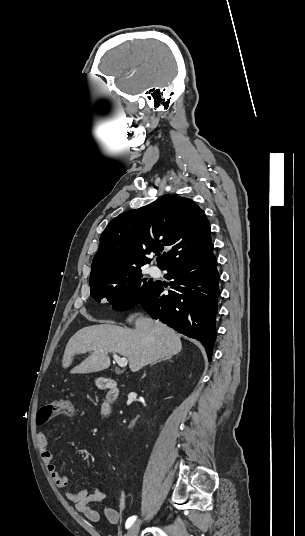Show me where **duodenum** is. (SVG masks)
I'll return each mask as SVG.
<instances>
[{"label":"duodenum","instance_id":"duodenum-1","mask_svg":"<svg viewBox=\"0 0 305 536\" xmlns=\"http://www.w3.org/2000/svg\"><path fill=\"white\" fill-rule=\"evenodd\" d=\"M98 385L100 388L108 390L107 400L103 406V413L109 415L111 405L118 397V390L114 388L113 384L108 380H101Z\"/></svg>","mask_w":305,"mask_h":536}]
</instances>
